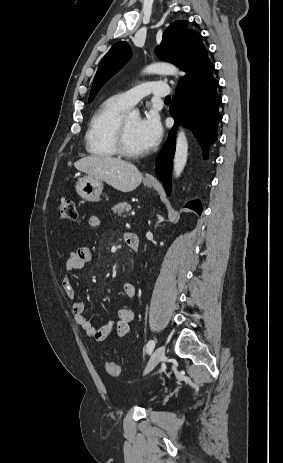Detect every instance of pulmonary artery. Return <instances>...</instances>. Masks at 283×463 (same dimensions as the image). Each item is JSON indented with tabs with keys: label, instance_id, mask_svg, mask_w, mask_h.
<instances>
[{
	"label": "pulmonary artery",
	"instance_id": "pulmonary-artery-1",
	"mask_svg": "<svg viewBox=\"0 0 283 463\" xmlns=\"http://www.w3.org/2000/svg\"><path fill=\"white\" fill-rule=\"evenodd\" d=\"M169 91V87L165 82L151 81L138 85L128 91L118 94L117 96L125 106L132 107L148 95L166 98L169 95Z\"/></svg>",
	"mask_w": 283,
	"mask_h": 463
}]
</instances>
